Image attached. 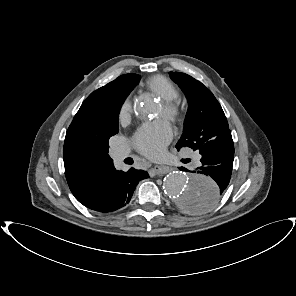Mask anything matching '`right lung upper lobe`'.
I'll use <instances>...</instances> for the list:
<instances>
[{
	"instance_id": "right-lung-upper-lobe-1",
	"label": "right lung upper lobe",
	"mask_w": 296,
	"mask_h": 296,
	"mask_svg": "<svg viewBox=\"0 0 296 296\" xmlns=\"http://www.w3.org/2000/svg\"><path fill=\"white\" fill-rule=\"evenodd\" d=\"M139 75L125 74L92 92L83 102L64 141L65 175L75 198L82 197L94 183L115 170L108 155V140L101 135L97 123L114 105V97Z\"/></svg>"
}]
</instances>
